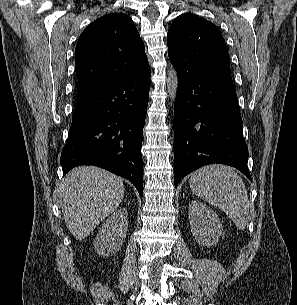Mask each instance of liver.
<instances>
[{
	"label": "liver",
	"mask_w": 297,
	"mask_h": 305,
	"mask_svg": "<svg viewBox=\"0 0 297 305\" xmlns=\"http://www.w3.org/2000/svg\"><path fill=\"white\" fill-rule=\"evenodd\" d=\"M123 180L94 166L71 170L59 189V204L65 224L77 240L87 237L119 206L124 196Z\"/></svg>",
	"instance_id": "obj_1"
}]
</instances>
